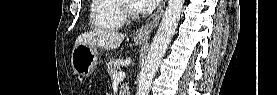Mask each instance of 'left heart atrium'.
<instances>
[{"label":"left heart atrium","instance_id":"1","mask_svg":"<svg viewBox=\"0 0 277 95\" xmlns=\"http://www.w3.org/2000/svg\"><path fill=\"white\" fill-rule=\"evenodd\" d=\"M159 2L160 0H136V5L142 11H151Z\"/></svg>","mask_w":277,"mask_h":95}]
</instances>
